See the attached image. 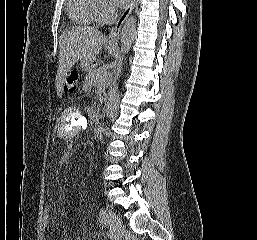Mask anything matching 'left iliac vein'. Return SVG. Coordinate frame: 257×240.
Returning <instances> with one entry per match:
<instances>
[{
  "instance_id": "obj_1",
  "label": "left iliac vein",
  "mask_w": 257,
  "mask_h": 240,
  "mask_svg": "<svg viewBox=\"0 0 257 240\" xmlns=\"http://www.w3.org/2000/svg\"><path fill=\"white\" fill-rule=\"evenodd\" d=\"M107 223L113 234H117L122 228V221L119 216L112 210L108 211Z\"/></svg>"
}]
</instances>
